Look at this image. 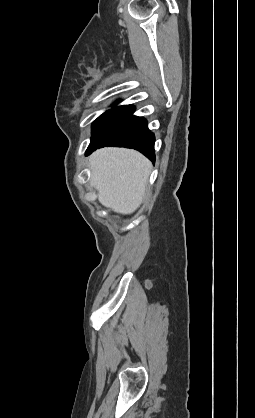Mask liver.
Instances as JSON below:
<instances>
[{"mask_svg":"<svg viewBox=\"0 0 255 418\" xmlns=\"http://www.w3.org/2000/svg\"><path fill=\"white\" fill-rule=\"evenodd\" d=\"M90 184L98 191L99 202L117 213L131 214L141 204L151 162L131 149L103 148L90 157Z\"/></svg>","mask_w":255,"mask_h":418,"instance_id":"6515ba94","label":"liver"}]
</instances>
